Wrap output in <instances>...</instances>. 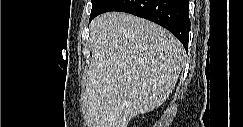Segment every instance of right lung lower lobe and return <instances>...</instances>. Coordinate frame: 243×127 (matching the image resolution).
I'll return each mask as SVG.
<instances>
[{
  "mask_svg": "<svg viewBox=\"0 0 243 127\" xmlns=\"http://www.w3.org/2000/svg\"><path fill=\"white\" fill-rule=\"evenodd\" d=\"M109 11L127 12L153 21L168 29L188 50L189 0H107L94 17Z\"/></svg>",
  "mask_w": 243,
  "mask_h": 127,
  "instance_id": "1",
  "label": "right lung lower lobe"
}]
</instances>
